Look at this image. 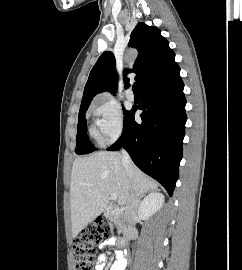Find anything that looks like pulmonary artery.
Instances as JSON below:
<instances>
[{
	"mask_svg": "<svg viewBox=\"0 0 242 270\" xmlns=\"http://www.w3.org/2000/svg\"><path fill=\"white\" fill-rule=\"evenodd\" d=\"M127 98L131 101L135 99V94H134L133 90L130 89L127 91Z\"/></svg>",
	"mask_w": 242,
	"mask_h": 270,
	"instance_id": "pulmonary-artery-1",
	"label": "pulmonary artery"
}]
</instances>
